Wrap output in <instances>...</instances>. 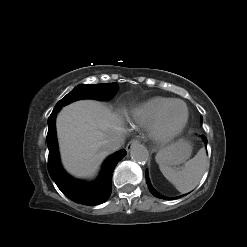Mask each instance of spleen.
I'll return each instance as SVG.
<instances>
[{"label": "spleen", "mask_w": 247, "mask_h": 247, "mask_svg": "<svg viewBox=\"0 0 247 247\" xmlns=\"http://www.w3.org/2000/svg\"><path fill=\"white\" fill-rule=\"evenodd\" d=\"M159 157L160 153L156 156L160 171L164 177L181 193H186L194 189L209 166V162L203 148L200 149L192 159L188 160L184 166L180 168H173L165 165L163 162L159 161Z\"/></svg>", "instance_id": "spleen-1"}]
</instances>
